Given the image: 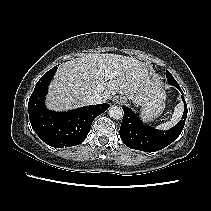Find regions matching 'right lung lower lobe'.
<instances>
[{"mask_svg":"<svg viewBox=\"0 0 211 211\" xmlns=\"http://www.w3.org/2000/svg\"><path fill=\"white\" fill-rule=\"evenodd\" d=\"M56 70L52 68L37 82L28 103L29 118L33 130L49 146H75L86 139L93 120L110 105H89L60 113L48 110L44 100Z\"/></svg>","mask_w":211,"mask_h":211,"instance_id":"right-lung-lower-lobe-1","label":"right lung lower lobe"}]
</instances>
